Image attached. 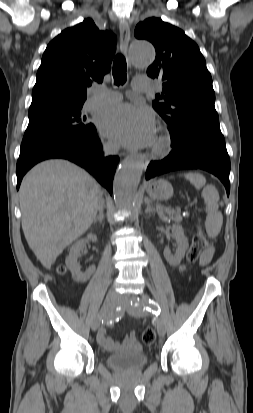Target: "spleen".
Returning a JSON list of instances; mask_svg holds the SVG:
<instances>
[{"instance_id":"obj_1","label":"spleen","mask_w":253,"mask_h":413,"mask_svg":"<svg viewBox=\"0 0 253 413\" xmlns=\"http://www.w3.org/2000/svg\"><path fill=\"white\" fill-rule=\"evenodd\" d=\"M184 177L197 189L202 190V198L206 205V232L210 238H215L221 230L223 224V216L219 211V193L216 187L212 184L206 185L205 177L197 172H188Z\"/></svg>"}]
</instances>
